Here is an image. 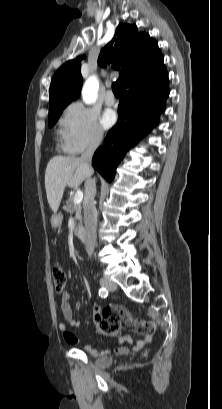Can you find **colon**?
<instances>
[{
    "label": "colon",
    "instance_id": "obj_1",
    "mask_svg": "<svg viewBox=\"0 0 222 409\" xmlns=\"http://www.w3.org/2000/svg\"><path fill=\"white\" fill-rule=\"evenodd\" d=\"M51 276L56 292L62 293L66 288L67 276L60 262L55 263L51 269ZM112 308L97 309L94 313L96 330L108 336H116L119 333V324L112 318Z\"/></svg>",
    "mask_w": 222,
    "mask_h": 409
}]
</instances>
